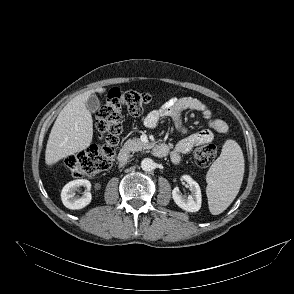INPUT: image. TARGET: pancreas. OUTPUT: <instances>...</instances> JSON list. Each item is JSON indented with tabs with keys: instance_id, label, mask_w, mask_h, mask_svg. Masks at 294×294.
<instances>
[{
	"instance_id": "obj_1",
	"label": "pancreas",
	"mask_w": 294,
	"mask_h": 294,
	"mask_svg": "<svg viewBox=\"0 0 294 294\" xmlns=\"http://www.w3.org/2000/svg\"><path fill=\"white\" fill-rule=\"evenodd\" d=\"M149 147L148 143L142 142L139 138L129 139L124 143L123 148L127 151H141Z\"/></svg>"
}]
</instances>
